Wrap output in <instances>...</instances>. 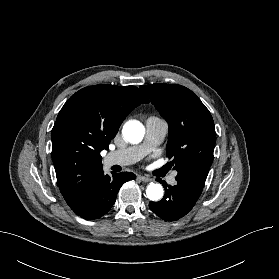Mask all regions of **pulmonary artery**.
I'll return each instance as SVG.
<instances>
[{
	"label": "pulmonary artery",
	"instance_id": "pulmonary-artery-1",
	"mask_svg": "<svg viewBox=\"0 0 279 279\" xmlns=\"http://www.w3.org/2000/svg\"><path fill=\"white\" fill-rule=\"evenodd\" d=\"M167 132L168 124L165 120L158 117H149L146 120L144 142L137 146L119 149L109 153L105 157V163L108 165L122 166L133 164L158 146L165 138ZM175 177L176 173L171 174L168 178V182L170 184H175Z\"/></svg>",
	"mask_w": 279,
	"mask_h": 279
}]
</instances>
